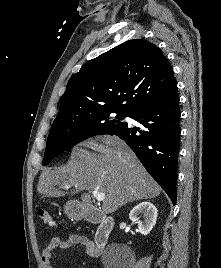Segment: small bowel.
<instances>
[{
	"label": "small bowel",
	"mask_w": 221,
	"mask_h": 268,
	"mask_svg": "<svg viewBox=\"0 0 221 268\" xmlns=\"http://www.w3.org/2000/svg\"><path fill=\"white\" fill-rule=\"evenodd\" d=\"M73 246H81L90 256H97L99 251L96 249L94 242L87 236L71 234L66 239L54 237L41 252V262L43 268H54L52 258L57 249H69Z\"/></svg>",
	"instance_id": "obj_1"
}]
</instances>
